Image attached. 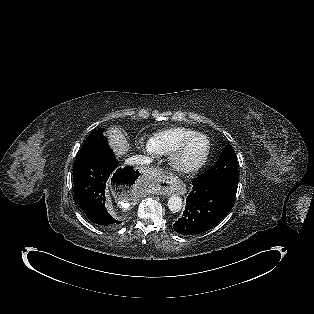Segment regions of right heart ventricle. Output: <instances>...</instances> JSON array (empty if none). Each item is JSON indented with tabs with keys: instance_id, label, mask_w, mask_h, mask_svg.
Returning <instances> with one entry per match:
<instances>
[{
	"instance_id": "obj_1",
	"label": "right heart ventricle",
	"mask_w": 314,
	"mask_h": 314,
	"mask_svg": "<svg viewBox=\"0 0 314 314\" xmlns=\"http://www.w3.org/2000/svg\"><path fill=\"white\" fill-rule=\"evenodd\" d=\"M197 133L183 127L165 129L152 134L147 142L148 150L155 155H169L175 152L183 141Z\"/></svg>"
}]
</instances>
